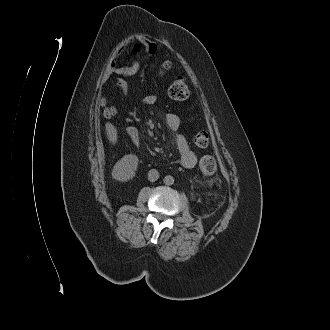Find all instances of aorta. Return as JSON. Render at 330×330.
Here are the masks:
<instances>
[{"instance_id":"obj_1","label":"aorta","mask_w":330,"mask_h":330,"mask_svg":"<svg viewBox=\"0 0 330 330\" xmlns=\"http://www.w3.org/2000/svg\"><path fill=\"white\" fill-rule=\"evenodd\" d=\"M163 182L165 185H172L174 183V178L171 175H167L164 177Z\"/></svg>"}]
</instances>
